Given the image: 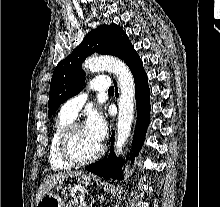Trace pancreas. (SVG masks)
<instances>
[{
  "instance_id": "obj_1",
  "label": "pancreas",
  "mask_w": 220,
  "mask_h": 207,
  "mask_svg": "<svg viewBox=\"0 0 220 207\" xmlns=\"http://www.w3.org/2000/svg\"><path fill=\"white\" fill-rule=\"evenodd\" d=\"M66 207H86V203H85V201L71 200L66 205Z\"/></svg>"
}]
</instances>
